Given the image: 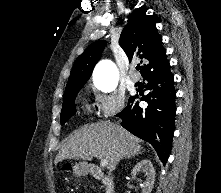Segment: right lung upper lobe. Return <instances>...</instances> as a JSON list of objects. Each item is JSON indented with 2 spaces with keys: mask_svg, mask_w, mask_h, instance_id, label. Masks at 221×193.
<instances>
[{
  "mask_svg": "<svg viewBox=\"0 0 221 193\" xmlns=\"http://www.w3.org/2000/svg\"><path fill=\"white\" fill-rule=\"evenodd\" d=\"M105 44V41L94 42L76 59L66 88L83 86L87 82ZM119 45L126 53L129 62L141 60L140 73L143 77L170 65L166 58V50L162 46V37L157 33L156 21L151 15L135 13L129 17L121 33Z\"/></svg>",
  "mask_w": 221,
  "mask_h": 193,
  "instance_id": "right-lung-upper-lobe-1",
  "label": "right lung upper lobe"
}]
</instances>
